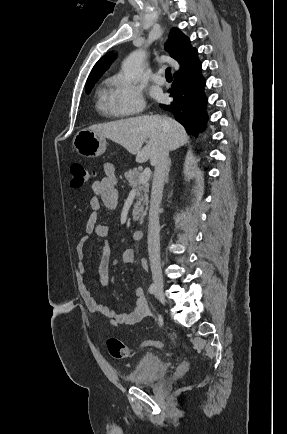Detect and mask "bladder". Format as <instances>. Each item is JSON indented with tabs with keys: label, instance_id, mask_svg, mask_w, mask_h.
<instances>
[{
	"label": "bladder",
	"instance_id": "31cf9c89",
	"mask_svg": "<svg viewBox=\"0 0 287 434\" xmlns=\"http://www.w3.org/2000/svg\"><path fill=\"white\" fill-rule=\"evenodd\" d=\"M167 373V362L162 357L149 353L127 373L126 379L136 386L150 387Z\"/></svg>",
	"mask_w": 287,
	"mask_h": 434
}]
</instances>
